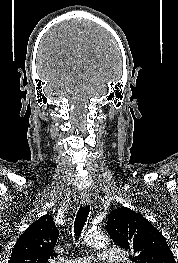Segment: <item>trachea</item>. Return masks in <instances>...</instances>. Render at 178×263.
Segmentation results:
<instances>
[{
  "label": "trachea",
  "instance_id": "trachea-1",
  "mask_svg": "<svg viewBox=\"0 0 178 263\" xmlns=\"http://www.w3.org/2000/svg\"><path fill=\"white\" fill-rule=\"evenodd\" d=\"M90 212V206L80 207L74 222V234L77 240L81 236L82 229L87 221Z\"/></svg>",
  "mask_w": 178,
  "mask_h": 263
}]
</instances>
